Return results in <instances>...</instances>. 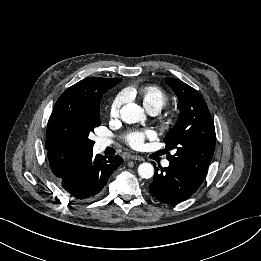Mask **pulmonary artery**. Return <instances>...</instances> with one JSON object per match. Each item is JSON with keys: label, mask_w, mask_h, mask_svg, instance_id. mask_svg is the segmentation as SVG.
<instances>
[{"label": "pulmonary artery", "mask_w": 261, "mask_h": 261, "mask_svg": "<svg viewBox=\"0 0 261 261\" xmlns=\"http://www.w3.org/2000/svg\"><path fill=\"white\" fill-rule=\"evenodd\" d=\"M150 114H151V115H157L158 112H157V111H152V112H150ZM99 144H100L101 147H106V146H108L109 144H111V141H110V140H107V139H103V140H101V141L99 142ZM163 166H164V167H168V166H169V162H168V161H164V162H163Z\"/></svg>", "instance_id": "1"}]
</instances>
